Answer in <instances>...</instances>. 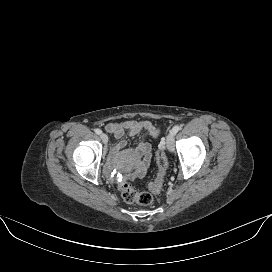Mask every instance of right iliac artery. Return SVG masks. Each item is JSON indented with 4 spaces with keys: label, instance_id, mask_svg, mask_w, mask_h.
Instances as JSON below:
<instances>
[{
    "label": "right iliac artery",
    "instance_id": "right-iliac-artery-1",
    "mask_svg": "<svg viewBox=\"0 0 272 272\" xmlns=\"http://www.w3.org/2000/svg\"><path fill=\"white\" fill-rule=\"evenodd\" d=\"M96 134L100 135L102 133V131L100 129H96L95 130Z\"/></svg>",
    "mask_w": 272,
    "mask_h": 272
}]
</instances>
